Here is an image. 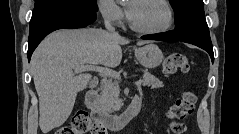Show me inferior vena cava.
I'll use <instances>...</instances> for the list:
<instances>
[{"label":"inferior vena cava","mask_w":239,"mask_h":134,"mask_svg":"<svg viewBox=\"0 0 239 134\" xmlns=\"http://www.w3.org/2000/svg\"><path fill=\"white\" fill-rule=\"evenodd\" d=\"M104 23H105L106 29L108 30V32H109L110 34H116L115 28L112 26L111 21H110L109 18H106V19L104 20Z\"/></svg>","instance_id":"1"}]
</instances>
